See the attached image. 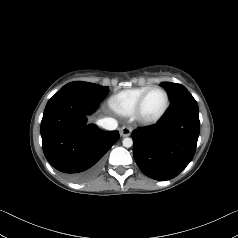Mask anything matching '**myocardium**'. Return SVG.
I'll return each instance as SVG.
<instances>
[{
	"label": "myocardium",
	"mask_w": 238,
	"mask_h": 238,
	"mask_svg": "<svg viewBox=\"0 0 238 238\" xmlns=\"http://www.w3.org/2000/svg\"><path fill=\"white\" fill-rule=\"evenodd\" d=\"M155 89H159L161 90L164 95H165V105H164V108L162 109V111L156 115L155 117H151V118H148V117H145L142 113V108H143V105H144V102L148 96V94L155 90ZM170 106V97H169V94L167 92V90L160 86V85H154V86H150L141 96L140 98L138 99L136 105H135V108H134V111L132 113L133 115V118L143 124V125H151V124H155L157 123L158 121H160L164 115L166 114V112L168 111V108Z\"/></svg>",
	"instance_id": "obj_1"
}]
</instances>
